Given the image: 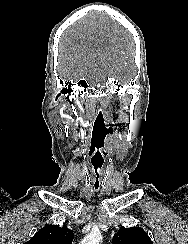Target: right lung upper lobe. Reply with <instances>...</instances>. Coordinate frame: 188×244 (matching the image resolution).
Listing matches in <instances>:
<instances>
[{
	"mask_svg": "<svg viewBox=\"0 0 188 244\" xmlns=\"http://www.w3.org/2000/svg\"><path fill=\"white\" fill-rule=\"evenodd\" d=\"M73 240V231L66 225H48L41 228L25 244H71Z\"/></svg>",
	"mask_w": 188,
	"mask_h": 244,
	"instance_id": "cb5924a9",
	"label": "right lung upper lobe"
}]
</instances>
